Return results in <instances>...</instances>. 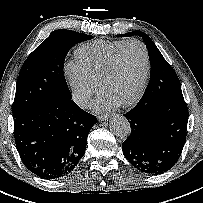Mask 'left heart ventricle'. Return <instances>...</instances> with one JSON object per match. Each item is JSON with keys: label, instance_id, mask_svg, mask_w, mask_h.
Returning <instances> with one entry per match:
<instances>
[{"label": "left heart ventricle", "instance_id": "left-heart-ventricle-1", "mask_svg": "<svg viewBox=\"0 0 203 203\" xmlns=\"http://www.w3.org/2000/svg\"><path fill=\"white\" fill-rule=\"evenodd\" d=\"M142 49L131 44L120 53L115 70L104 85L103 93L119 103L129 100L139 88L144 72Z\"/></svg>", "mask_w": 203, "mask_h": 203}]
</instances>
